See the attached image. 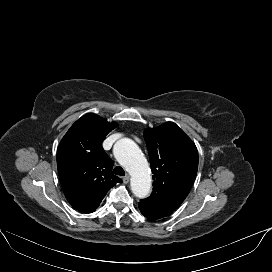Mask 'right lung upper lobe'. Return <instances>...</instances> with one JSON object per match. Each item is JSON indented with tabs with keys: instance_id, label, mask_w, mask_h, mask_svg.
<instances>
[{
	"instance_id": "1",
	"label": "right lung upper lobe",
	"mask_w": 272,
	"mask_h": 272,
	"mask_svg": "<svg viewBox=\"0 0 272 272\" xmlns=\"http://www.w3.org/2000/svg\"><path fill=\"white\" fill-rule=\"evenodd\" d=\"M115 127L117 123L90 113L71 126L58 146L57 167L64 194L82 213L95 211L108 190L122 182L113 174V161L102 147Z\"/></svg>"
}]
</instances>
